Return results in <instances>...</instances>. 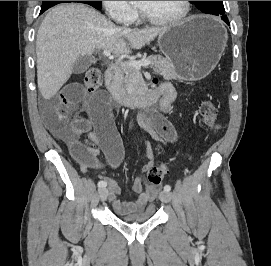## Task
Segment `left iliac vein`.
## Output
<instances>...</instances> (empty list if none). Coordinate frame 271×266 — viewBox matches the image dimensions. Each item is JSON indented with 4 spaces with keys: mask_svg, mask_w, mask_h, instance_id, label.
Returning <instances> with one entry per match:
<instances>
[{
    "mask_svg": "<svg viewBox=\"0 0 271 266\" xmlns=\"http://www.w3.org/2000/svg\"><path fill=\"white\" fill-rule=\"evenodd\" d=\"M171 198H172V195L170 192H167V191H162L159 195V199L162 201V202H165V203H168L171 201Z\"/></svg>",
    "mask_w": 271,
    "mask_h": 266,
    "instance_id": "4c4485c4",
    "label": "left iliac vein"
}]
</instances>
